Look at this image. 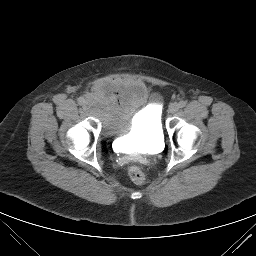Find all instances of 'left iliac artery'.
I'll list each match as a JSON object with an SVG mask.
<instances>
[{"instance_id":"obj_1","label":"left iliac artery","mask_w":256,"mask_h":256,"mask_svg":"<svg viewBox=\"0 0 256 256\" xmlns=\"http://www.w3.org/2000/svg\"><path fill=\"white\" fill-rule=\"evenodd\" d=\"M185 106H186V101L182 100V101L179 102V107L183 108Z\"/></svg>"}]
</instances>
